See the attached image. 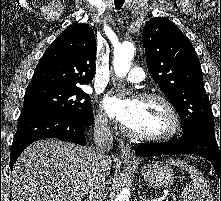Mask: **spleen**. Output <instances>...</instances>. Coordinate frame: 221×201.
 Returning <instances> with one entry per match:
<instances>
[{
	"label": "spleen",
	"mask_w": 221,
	"mask_h": 201,
	"mask_svg": "<svg viewBox=\"0 0 221 201\" xmlns=\"http://www.w3.org/2000/svg\"><path fill=\"white\" fill-rule=\"evenodd\" d=\"M168 162L186 170L190 174L191 181L186 184L180 197L181 201H212V195L206 179L194 166L179 159H169Z\"/></svg>",
	"instance_id": "obj_1"
}]
</instances>
